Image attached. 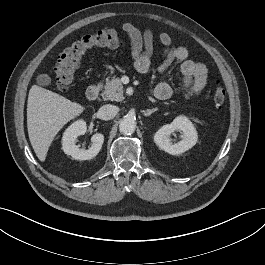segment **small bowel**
<instances>
[{"instance_id":"c3829d8e","label":"small bowel","mask_w":265,"mask_h":265,"mask_svg":"<svg viewBox=\"0 0 265 265\" xmlns=\"http://www.w3.org/2000/svg\"><path fill=\"white\" fill-rule=\"evenodd\" d=\"M122 29L130 39L131 54L135 69L140 73H146L151 66L154 48V35L150 29L141 31L130 22H125ZM163 46V60L159 65V71H164L172 63H180L183 76L184 94L188 99L195 98L203 91L208 76L205 64L188 59V50L182 46H174L169 34L161 33L158 37ZM171 86L164 80L160 81L154 90V95L160 100L171 96Z\"/></svg>"}]
</instances>
